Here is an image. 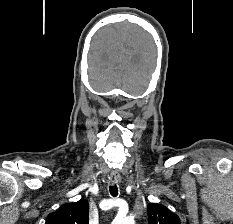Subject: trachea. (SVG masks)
<instances>
[{"label": "trachea", "instance_id": "trachea-1", "mask_svg": "<svg viewBox=\"0 0 233 224\" xmlns=\"http://www.w3.org/2000/svg\"><path fill=\"white\" fill-rule=\"evenodd\" d=\"M109 190H110V194L113 197H116L118 195V188H117L116 184H114L113 186H110Z\"/></svg>", "mask_w": 233, "mask_h": 224}]
</instances>
